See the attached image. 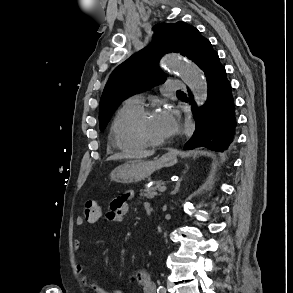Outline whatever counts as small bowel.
<instances>
[{"label":"small bowel","instance_id":"small-bowel-1","mask_svg":"<svg viewBox=\"0 0 293 293\" xmlns=\"http://www.w3.org/2000/svg\"><path fill=\"white\" fill-rule=\"evenodd\" d=\"M134 198L133 191H127L122 195L118 196L114 200L111 201L109 210L106 212L105 218L107 221L120 223L124 220L126 214L129 210V201ZM146 207H151L150 204H145L144 209ZM76 224L81 226L83 224V220L78 218L76 220ZM81 248V241L76 240L74 242V249L79 250ZM78 273L82 276L85 284L93 289L97 293H125L122 289H111L107 288L103 285H100L93 279L87 277L85 272V267L83 265H78L77 267ZM136 281L138 285L142 289V293H155L156 288L151 279L150 274L145 270H139L135 274Z\"/></svg>","mask_w":293,"mask_h":293}]
</instances>
